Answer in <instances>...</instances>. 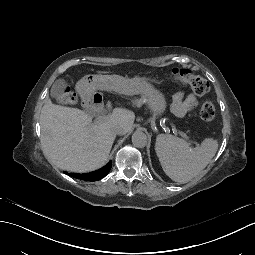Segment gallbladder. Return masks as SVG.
<instances>
[{
    "mask_svg": "<svg viewBox=\"0 0 255 255\" xmlns=\"http://www.w3.org/2000/svg\"><path fill=\"white\" fill-rule=\"evenodd\" d=\"M66 88V82L63 79H58L54 82L51 88V96L57 100L65 99L64 89Z\"/></svg>",
    "mask_w": 255,
    "mask_h": 255,
    "instance_id": "1",
    "label": "gallbladder"
}]
</instances>
